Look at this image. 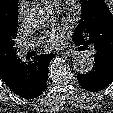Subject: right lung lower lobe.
<instances>
[{"label":"right lung lower lobe","mask_w":113,"mask_h":113,"mask_svg":"<svg viewBox=\"0 0 113 113\" xmlns=\"http://www.w3.org/2000/svg\"><path fill=\"white\" fill-rule=\"evenodd\" d=\"M53 57L54 54H41L27 62L17 59L15 69L4 80L5 84L24 99L39 97L47 87L48 65Z\"/></svg>","instance_id":"1"}]
</instances>
